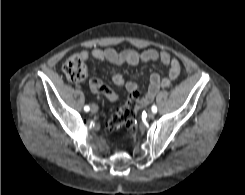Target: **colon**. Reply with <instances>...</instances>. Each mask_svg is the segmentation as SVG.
Returning a JSON list of instances; mask_svg holds the SVG:
<instances>
[{
    "mask_svg": "<svg viewBox=\"0 0 245 195\" xmlns=\"http://www.w3.org/2000/svg\"><path fill=\"white\" fill-rule=\"evenodd\" d=\"M63 72L71 82L78 83L87 76V67L79 55H72L63 64ZM140 104L138 92L130 96L128 101L122 105L114 114L108 117L106 127L109 130H118L126 127L130 130L136 128L135 114Z\"/></svg>",
    "mask_w": 245,
    "mask_h": 195,
    "instance_id": "1",
    "label": "colon"
}]
</instances>
